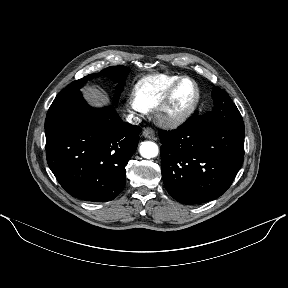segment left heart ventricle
<instances>
[{
  "label": "left heart ventricle",
  "mask_w": 288,
  "mask_h": 288,
  "mask_svg": "<svg viewBox=\"0 0 288 288\" xmlns=\"http://www.w3.org/2000/svg\"><path fill=\"white\" fill-rule=\"evenodd\" d=\"M194 95V88L188 81L183 82L175 95L174 101L170 108V113L174 114L181 111L187 106Z\"/></svg>",
  "instance_id": "1"
}]
</instances>
